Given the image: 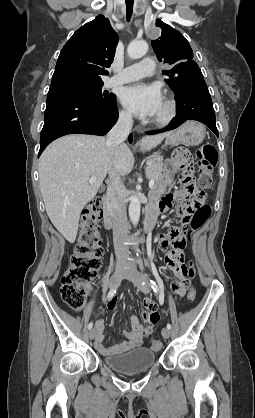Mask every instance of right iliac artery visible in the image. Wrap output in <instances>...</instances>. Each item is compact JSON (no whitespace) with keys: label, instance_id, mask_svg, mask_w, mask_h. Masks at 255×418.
<instances>
[{"label":"right iliac artery","instance_id":"1","mask_svg":"<svg viewBox=\"0 0 255 418\" xmlns=\"http://www.w3.org/2000/svg\"><path fill=\"white\" fill-rule=\"evenodd\" d=\"M116 291H117V288H112L107 294V299L108 300L111 299L116 294ZM92 327H93V323L90 322L88 324V329L90 330Z\"/></svg>","mask_w":255,"mask_h":418}]
</instances>
